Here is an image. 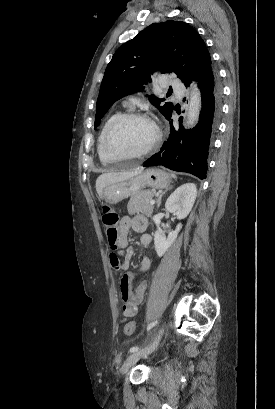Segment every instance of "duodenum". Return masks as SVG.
Here are the masks:
<instances>
[{
	"instance_id": "410a0bca",
	"label": "duodenum",
	"mask_w": 275,
	"mask_h": 409,
	"mask_svg": "<svg viewBox=\"0 0 275 409\" xmlns=\"http://www.w3.org/2000/svg\"><path fill=\"white\" fill-rule=\"evenodd\" d=\"M140 229H141V230H143V229H144V227H141Z\"/></svg>"
}]
</instances>
